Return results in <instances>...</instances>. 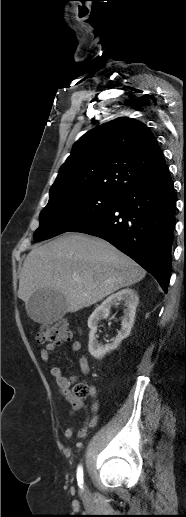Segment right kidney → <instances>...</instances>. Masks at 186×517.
<instances>
[{
    "instance_id": "obj_1",
    "label": "right kidney",
    "mask_w": 186,
    "mask_h": 517,
    "mask_svg": "<svg viewBox=\"0 0 186 517\" xmlns=\"http://www.w3.org/2000/svg\"><path fill=\"white\" fill-rule=\"evenodd\" d=\"M121 302H124V306L126 307L124 309L121 329L118 331V335L112 343L102 345L97 340V325L99 321L109 316L112 306H117ZM138 302L139 298L137 293L133 289L126 288L109 296L93 311L88 318V327L90 328L88 350L94 358H102L107 352L116 349L122 340L129 336L134 324Z\"/></svg>"
}]
</instances>
